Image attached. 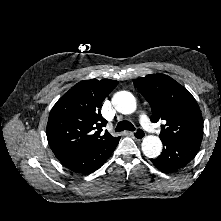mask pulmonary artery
Masks as SVG:
<instances>
[{
  "label": "pulmonary artery",
  "instance_id": "1",
  "mask_svg": "<svg viewBox=\"0 0 221 221\" xmlns=\"http://www.w3.org/2000/svg\"><path fill=\"white\" fill-rule=\"evenodd\" d=\"M139 122L146 131H152V125L145 114L139 115Z\"/></svg>",
  "mask_w": 221,
  "mask_h": 221
}]
</instances>
